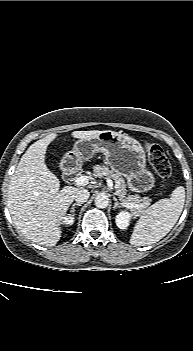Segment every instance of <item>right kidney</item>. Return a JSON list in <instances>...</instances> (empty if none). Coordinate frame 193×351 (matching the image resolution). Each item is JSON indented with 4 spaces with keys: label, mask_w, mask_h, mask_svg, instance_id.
<instances>
[{
    "label": "right kidney",
    "mask_w": 193,
    "mask_h": 351,
    "mask_svg": "<svg viewBox=\"0 0 193 351\" xmlns=\"http://www.w3.org/2000/svg\"><path fill=\"white\" fill-rule=\"evenodd\" d=\"M62 222L66 225H72L74 223V217L71 215L66 216Z\"/></svg>",
    "instance_id": "1"
}]
</instances>
